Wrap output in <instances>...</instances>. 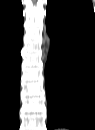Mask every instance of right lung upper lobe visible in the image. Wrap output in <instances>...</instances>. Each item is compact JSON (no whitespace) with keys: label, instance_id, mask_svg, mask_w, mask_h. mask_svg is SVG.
<instances>
[{"label":"right lung upper lobe","instance_id":"obj_1","mask_svg":"<svg viewBox=\"0 0 95 130\" xmlns=\"http://www.w3.org/2000/svg\"><path fill=\"white\" fill-rule=\"evenodd\" d=\"M23 26L21 0L0 1V36L14 32Z\"/></svg>","mask_w":95,"mask_h":130}]
</instances>
